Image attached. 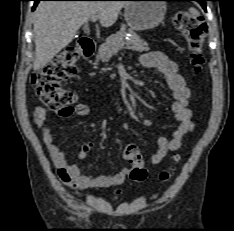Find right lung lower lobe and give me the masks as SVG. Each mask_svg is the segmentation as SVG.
Returning <instances> with one entry per match:
<instances>
[{"instance_id":"right-lung-lower-lobe-1","label":"right lung lower lobe","mask_w":234,"mask_h":231,"mask_svg":"<svg viewBox=\"0 0 234 231\" xmlns=\"http://www.w3.org/2000/svg\"><path fill=\"white\" fill-rule=\"evenodd\" d=\"M33 1H35V3H34L32 10H34L36 8L39 1H71V0H33ZM100 1H102V0H100Z\"/></svg>"}]
</instances>
